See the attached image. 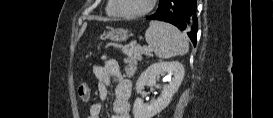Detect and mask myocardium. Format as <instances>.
Here are the masks:
<instances>
[{
    "instance_id": "obj_1",
    "label": "myocardium",
    "mask_w": 273,
    "mask_h": 118,
    "mask_svg": "<svg viewBox=\"0 0 273 118\" xmlns=\"http://www.w3.org/2000/svg\"><path fill=\"white\" fill-rule=\"evenodd\" d=\"M119 1L120 0H112L113 7L118 15L126 19H134L147 15L149 12L152 11L156 2V0H149V3L144 10L137 13H126L121 9Z\"/></svg>"
}]
</instances>
